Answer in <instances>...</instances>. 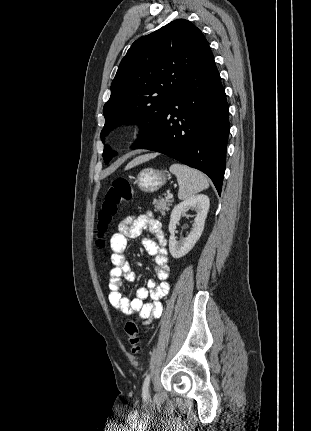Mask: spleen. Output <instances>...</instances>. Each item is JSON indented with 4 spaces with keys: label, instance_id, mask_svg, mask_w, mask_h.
Wrapping results in <instances>:
<instances>
[{
    "label": "spleen",
    "instance_id": "3e777b00",
    "mask_svg": "<svg viewBox=\"0 0 311 431\" xmlns=\"http://www.w3.org/2000/svg\"><path fill=\"white\" fill-rule=\"evenodd\" d=\"M171 174H175L179 186L178 198L179 200H188L198 192L209 188V182L201 172L182 166V164H172L169 168Z\"/></svg>",
    "mask_w": 311,
    "mask_h": 431
}]
</instances>
